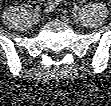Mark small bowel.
<instances>
[{
	"label": "small bowel",
	"instance_id": "obj_1",
	"mask_svg": "<svg viewBox=\"0 0 111 106\" xmlns=\"http://www.w3.org/2000/svg\"><path fill=\"white\" fill-rule=\"evenodd\" d=\"M61 3V0H50L45 6L47 12L52 11L57 5Z\"/></svg>",
	"mask_w": 111,
	"mask_h": 106
}]
</instances>
